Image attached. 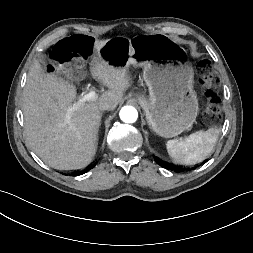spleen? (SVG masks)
I'll use <instances>...</instances> for the list:
<instances>
[{"mask_svg": "<svg viewBox=\"0 0 253 253\" xmlns=\"http://www.w3.org/2000/svg\"><path fill=\"white\" fill-rule=\"evenodd\" d=\"M220 130L212 127L207 131H197L182 141L169 140L167 152L177 164L193 165L209 157L217 142Z\"/></svg>", "mask_w": 253, "mask_h": 253, "instance_id": "spleen-1", "label": "spleen"}]
</instances>
